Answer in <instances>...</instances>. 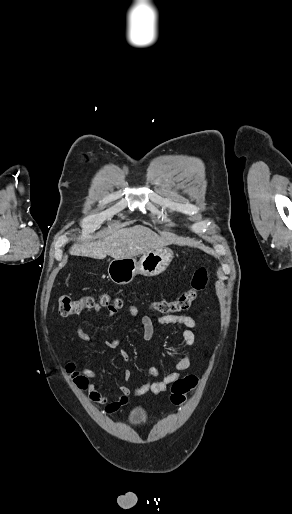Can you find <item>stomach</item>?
I'll return each instance as SVG.
<instances>
[{
  "mask_svg": "<svg viewBox=\"0 0 292 514\" xmlns=\"http://www.w3.org/2000/svg\"><path fill=\"white\" fill-rule=\"evenodd\" d=\"M173 256L166 248H156L141 256L139 262L133 258L112 260L108 266V276L114 284L124 286L134 280L136 274L159 276L168 268Z\"/></svg>",
  "mask_w": 292,
  "mask_h": 514,
  "instance_id": "obj_1",
  "label": "stomach"
}]
</instances>
